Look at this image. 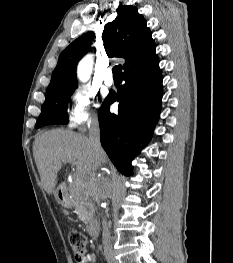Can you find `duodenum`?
Segmentation results:
<instances>
[{"label": "duodenum", "mask_w": 233, "mask_h": 263, "mask_svg": "<svg viewBox=\"0 0 233 263\" xmlns=\"http://www.w3.org/2000/svg\"><path fill=\"white\" fill-rule=\"evenodd\" d=\"M65 187L64 186H60V194H59V199L60 201L64 202L65 201ZM89 235L92 239H98V227L96 224H91L89 227Z\"/></svg>", "instance_id": "duodenum-1"}]
</instances>
